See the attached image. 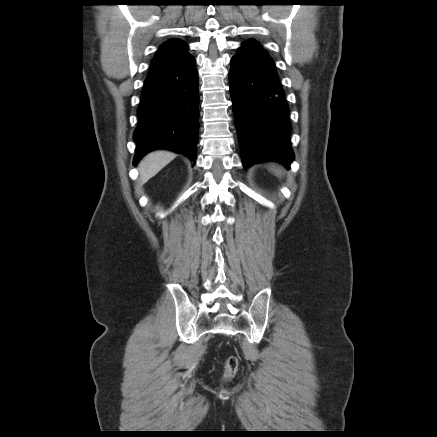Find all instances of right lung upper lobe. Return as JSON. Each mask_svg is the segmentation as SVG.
<instances>
[{
	"label": "right lung upper lobe",
	"mask_w": 437,
	"mask_h": 437,
	"mask_svg": "<svg viewBox=\"0 0 437 437\" xmlns=\"http://www.w3.org/2000/svg\"><path fill=\"white\" fill-rule=\"evenodd\" d=\"M187 50L188 45L179 39H172L163 43L151 62L150 71L171 65L183 59L189 55Z\"/></svg>",
	"instance_id": "obj_1"
}]
</instances>
